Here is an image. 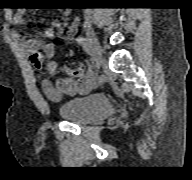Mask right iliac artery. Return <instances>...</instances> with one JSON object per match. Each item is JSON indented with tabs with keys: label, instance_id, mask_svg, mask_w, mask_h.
Segmentation results:
<instances>
[{
	"label": "right iliac artery",
	"instance_id": "1",
	"mask_svg": "<svg viewBox=\"0 0 192 180\" xmlns=\"http://www.w3.org/2000/svg\"><path fill=\"white\" fill-rule=\"evenodd\" d=\"M76 40L87 54L92 55V48L89 39L83 36H79Z\"/></svg>",
	"mask_w": 192,
	"mask_h": 180
}]
</instances>
